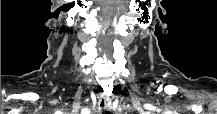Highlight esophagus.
Masks as SVG:
<instances>
[{"instance_id":"esophagus-1","label":"esophagus","mask_w":217,"mask_h":114,"mask_svg":"<svg viewBox=\"0 0 217 114\" xmlns=\"http://www.w3.org/2000/svg\"><path fill=\"white\" fill-rule=\"evenodd\" d=\"M98 105H99V112L104 113L107 109H111L112 100L110 97L100 96Z\"/></svg>"}]
</instances>
